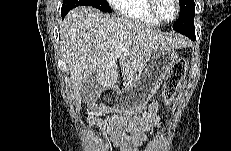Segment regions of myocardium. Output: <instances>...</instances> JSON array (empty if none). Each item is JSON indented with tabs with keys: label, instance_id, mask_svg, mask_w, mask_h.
Here are the masks:
<instances>
[{
	"label": "myocardium",
	"instance_id": "f54148a6",
	"mask_svg": "<svg viewBox=\"0 0 231 151\" xmlns=\"http://www.w3.org/2000/svg\"><path fill=\"white\" fill-rule=\"evenodd\" d=\"M158 1L159 0H149L148 6L151 15L160 23H171L176 20L180 13V2L178 0H173L175 6V14L170 19L163 18L158 12Z\"/></svg>",
	"mask_w": 231,
	"mask_h": 151
}]
</instances>
